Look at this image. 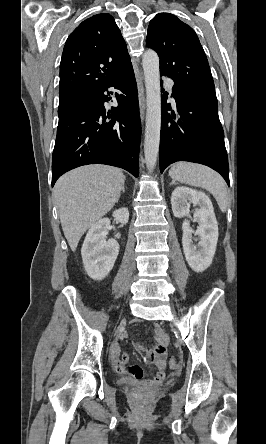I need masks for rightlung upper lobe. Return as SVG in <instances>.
Here are the masks:
<instances>
[{
    "instance_id": "cb5924a9",
    "label": "right lung upper lobe",
    "mask_w": 266,
    "mask_h": 444,
    "mask_svg": "<svg viewBox=\"0 0 266 444\" xmlns=\"http://www.w3.org/2000/svg\"><path fill=\"white\" fill-rule=\"evenodd\" d=\"M130 62L126 43L110 14L86 19L65 43L59 99L95 93Z\"/></svg>"
}]
</instances>
